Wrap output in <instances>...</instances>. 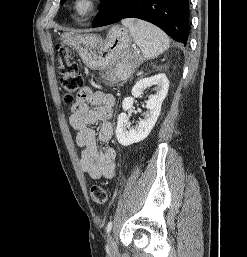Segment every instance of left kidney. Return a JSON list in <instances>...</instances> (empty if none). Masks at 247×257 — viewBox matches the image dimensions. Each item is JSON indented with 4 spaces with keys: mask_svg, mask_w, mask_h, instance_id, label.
Returning <instances> with one entry per match:
<instances>
[{
    "mask_svg": "<svg viewBox=\"0 0 247 257\" xmlns=\"http://www.w3.org/2000/svg\"><path fill=\"white\" fill-rule=\"evenodd\" d=\"M151 86H156L157 93L151 95L146 102V116L140 119L135 128H130V122L127 114L128 109L133 106L135 98L140 97L143 91ZM169 88V81L165 74H158L153 77L140 79L132 88V97H126L122 102V108L125 112L118 116L116 137L123 146H129L133 143L144 140L153 129L161 112V105L165 99Z\"/></svg>",
    "mask_w": 247,
    "mask_h": 257,
    "instance_id": "obj_1",
    "label": "left kidney"
}]
</instances>
